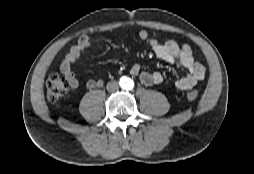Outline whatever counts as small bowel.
<instances>
[{
  "label": "small bowel",
  "instance_id": "1",
  "mask_svg": "<svg viewBox=\"0 0 254 174\" xmlns=\"http://www.w3.org/2000/svg\"><path fill=\"white\" fill-rule=\"evenodd\" d=\"M141 40L145 41L153 51V53L166 63L182 68L187 75L175 81V87L179 90H188L193 88L198 82L202 81L206 76V70L202 64L197 62L193 56L192 50L187 44L178 45L173 40L161 43L158 39L150 37L146 30L139 32ZM93 45V41L87 35H82L77 42L72 45L69 52L63 59L60 71L69 82L72 90L79 88V80L76 77L72 67L80 59L87 48ZM130 73L139 76L140 81L145 86H152L163 82L164 77L159 71H141L138 64L132 65ZM102 79H90L87 81L89 88L101 87Z\"/></svg>",
  "mask_w": 254,
  "mask_h": 174
}]
</instances>
